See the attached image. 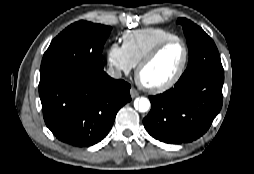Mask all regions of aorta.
I'll return each instance as SVG.
<instances>
[{
    "mask_svg": "<svg viewBox=\"0 0 254 174\" xmlns=\"http://www.w3.org/2000/svg\"><path fill=\"white\" fill-rule=\"evenodd\" d=\"M134 107L139 111V112H147L150 107V101L149 99L145 98V97H141V98H137L134 101Z\"/></svg>",
    "mask_w": 254,
    "mask_h": 174,
    "instance_id": "aorta-1",
    "label": "aorta"
}]
</instances>
